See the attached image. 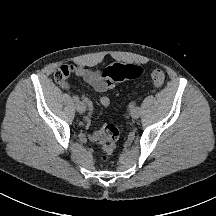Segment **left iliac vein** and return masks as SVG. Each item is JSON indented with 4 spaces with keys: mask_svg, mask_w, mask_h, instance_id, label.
I'll return each mask as SVG.
<instances>
[{
    "mask_svg": "<svg viewBox=\"0 0 216 216\" xmlns=\"http://www.w3.org/2000/svg\"><path fill=\"white\" fill-rule=\"evenodd\" d=\"M130 115L133 119H137L140 116V108L139 107H135L133 109H131L130 111Z\"/></svg>",
    "mask_w": 216,
    "mask_h": 216,
    "instance_id": "left-iliac-vein-1",
    "label": "left iliac vein"
}]
</instances>
